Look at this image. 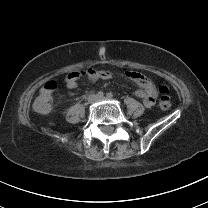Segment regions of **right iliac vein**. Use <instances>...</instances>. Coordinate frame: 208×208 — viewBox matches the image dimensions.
I'll return each instance as SVG.
<instances>
[{
	"label": "right iliac vein",
	"mask_w": 208,
	"mask_h": 208,
	"mask_svg": "<svg viewBox=\"0 0 208 208\" xmlns=\"http://www.w3.org/2000/svg\"><path fill=\"white\" fill-rule=\"evenodd\" d=\"M97 99L98 97L95 94H91L88 96L87 101L88 103H94Z\"/></svg>",
	"instance_id": "obj_1"
}]
</instances>
